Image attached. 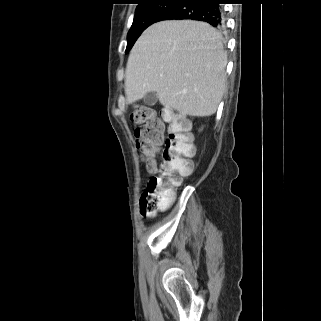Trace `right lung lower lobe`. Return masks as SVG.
Instances as JSON below:
<instances>
[{
	"mask_svg": "<svg viewBox=\"0 0 321 321\" xmlns=\"http://www.w3.org/2000/svg\"><path fill=\"white\" fill-rule=\"evenodd\" d=\"M223 0H183L162 14L158 19H191L207 22L213 27L223 26Z\"/></svg>",
	"mask_w": 321,
	"mask_h": 321,
	"instance_id": "right-lung-lower-lobe-1",
	"label": "right lung lower lobe"
}]
</instances>
